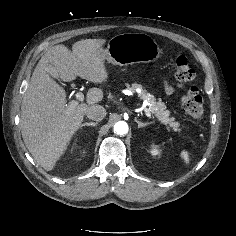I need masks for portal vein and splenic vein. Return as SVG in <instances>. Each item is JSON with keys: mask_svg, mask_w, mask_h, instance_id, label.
Listing matches in <instances>:
<instances>
[{"mask_svg": "<svg viewBox=\"0 0 236 236\" xmlns=\"http://www.w3.org/2000/svg\"><path fill=\"white\" fill-rule=\"evenodd\" d=\"M75 96H76L77 101H73L74 104L84 101V94L82 92H77ZM144 112L148 118H152L149 109L145 108Z\"/></svg>", "mask_w": 236, "mask_h": 236, "instance_id": "1", "label": "portal vein and splenic vein"}]
</instances>
